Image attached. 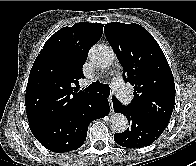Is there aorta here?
Returning a JSON list of instances; mask_svg holds the SVG:
<instances>
[{
    "label": "aorta",
    "instance_id": "762f6f07",
    "mask_svg": "<svg viewBox=\"0 0 196 166\" xmlns=\"http://www.w3.org/2000/svg\"><path fill=\"white\" fill-rule=\"evenodd\" d=\"M89 58L95 66L107 68L113 63L115 54L109 46L97 44L90 49ZM109 122L112 130L117 133H122L128 128V120L121 113L113 114Z\"/></svg>",
    "mask_w": 196,
    "mask_h": 166
}]
</instances>
